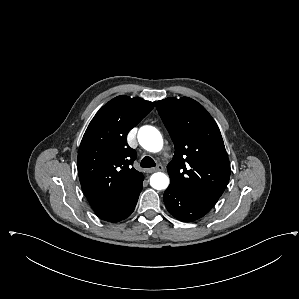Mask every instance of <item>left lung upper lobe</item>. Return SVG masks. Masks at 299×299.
I'll return each instance as SVG.
<instances>
[{"label":"left lung upper lobe","instance_id":"left-lung-upper-lobe-1","mask_svg":"<svg viewBox=\"0 0 299 299\" xmlns=\"http://www.w3.org/2000/svg\"><path fill=\"white\" fill-rule=\"evenodd\" d=\"M156 107L175 146L168 164L170 184L213 207L230 178V163L220 130L197 101L182 97Z\"/></svg>","mask_w":299,"mask_h":299}]
</instances>
